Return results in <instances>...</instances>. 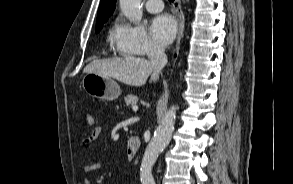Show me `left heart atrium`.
<instances>
[{
	"instance_id": "obj_1",
	"label": "left heart atrium",
	"mask_w": 293,
	"mask_h": 184,
	"mask_svg": "<svg viewBox=\"0 0 293 184\" xmlns=\"http://www.w3.org/2000/svg\"><path fill=\"white\" fill-rule=\"evenodd\" d=\"M177 31L175 19L168 14H162L155 17L150 26V32L153 38L161 45L170 43Z\"/></svg>"
}]
</instances>
